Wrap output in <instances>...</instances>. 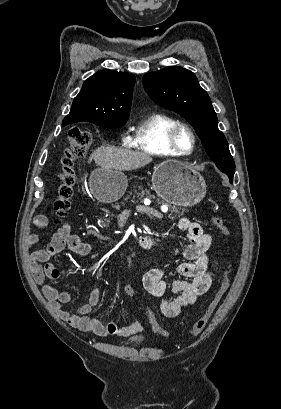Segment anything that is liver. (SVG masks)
<instances>
[{"mask_svg": "<svg viewBox=\"0 0 281 409\" xmlns=\"http://www.w3.org/2000/svg\"><path fill=\"white\" fill-rule=\"evenodd\" d=\"M95 160L101 168H116V170H134L152 162V156L143 150H127L114 146H100L90 154L88 162Z\"/></svg>", "mask_w": 281, "mask_h": 409, "instance_id": "6515ba94", "label": "liver"}]
</instances>
